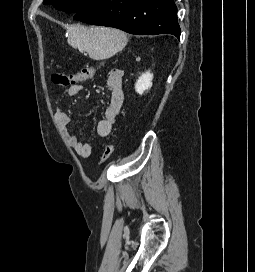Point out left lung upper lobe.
Returning <instances> with one entry per match:
<instances>
[{
    "label": "left lung upper lobe",
    "instance_id": "1",
    "mask_svg": "<svg viewBox=\"0 0 255 272\" xmlns=\"http://www.w3.org/2000/svg\"><path fill=\"white\" fill-rule=\"evenodd\" d=\"M95 0H44L45 5L53 4V6L67 13H77L91 4H93Z\"/></svg>",
    "mask_w": 255,
    "mask_h": 272
}]
</instances>
